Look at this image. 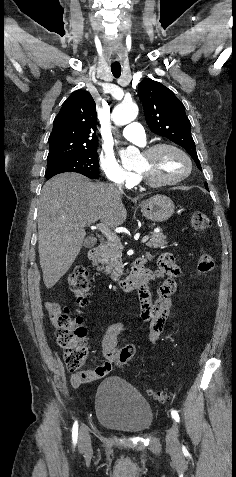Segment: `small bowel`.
I'll list each match as a JSON object with an SVG mask.
<instances>
[{"label": "small bowel", "instance_id": "c3829d8e", "mask_svg": "<svg viewBox=\"0 0 236 477\" xmlns=\"http://www.w3.org/2000/svg\"><path fill=\"white\" fill-rule=\"evenodd\" d=\"M146 258L149 259L148 256ZM181 274V269L175 264L171 253H163L158 258L157 269L145 271L148 281L162 277L165 278L162 284L158 301H153L150 290L147 286H142L138 290L141 305L142 319L148 325L149 341L156 345L165 328V321L172 306L171 296L175 292L177 285L174 278ZM46 309L52 323L56 326V319L62 313V305L58 301H51L46 304ZM124 331L122 322L112 323L103 331L99 332L100 350L105 358L101 365L94 366L89 370L78 372L72 375V383L75 386L102 379L112 370V363L115 362L124 349L128 350L131 356L136 353L134 345L120 347L121 335Z\"/></svg>", "mask_w": 236, "mask_h": 477}]
</instances>
